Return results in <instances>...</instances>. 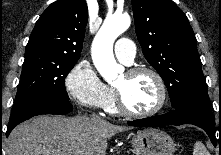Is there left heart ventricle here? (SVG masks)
<instances>
[{
	"label": "left heart ventricle",
	"instance_id": "b2bd125f",
	"mask_svg": "<svg viewBox=\"0 0 221 155\" xmlns=\"http://www.w3.org/2000/svg\"><path fill=\"white\" fill-rule=\"evenodd\" d=\"M128 106L135 112L152 110L159 101V88L155 79L146 73L128 76L124 73L114 84Z\"/></svg>",
	"mask_w": 221,
	"mask_h": 155
}]
</instances>
